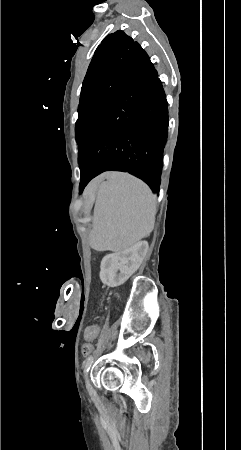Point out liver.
Returning a JSON list of instances; mask_svg holds the SVG:
<instances>
[{
	"instance_id": "6515ba94",
	"label": "liver",
	"mask_w": 241,
	"mask_h": 450,
	"mask_svg": "<svg viewBox=\"0 0 241 450\" xmlns=\"http://www.w3.org/2000/svg\"><path fill=\"white\" fill-rule=\"evenodd\" d=\"M111 174H101V176H98V178H96V180H93L94 184H97V182H102V180H105V178H110Z\"/></svg>"
}]
</instances>
